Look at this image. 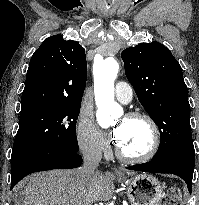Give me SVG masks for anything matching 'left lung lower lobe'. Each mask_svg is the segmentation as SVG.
<instances>
[{
  "label": "left lung lower lobe",
  "instance_id": "1",
  "mask_svg": "<svg viewBox=\"0 0 199 205\" xmlns=\"http://www.w3.org/2000/svg\"><path fill=\"white\" fill-rule=\"evenodd\" d=\"M195 155L174 154L159 160L129 166L127 169L153 173H171L181 177L192 191V178L194 172Z\"/></svg>",
  "mask_w": 199,
  "mask_h": 205
}]
</instances>
